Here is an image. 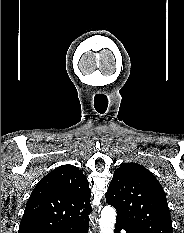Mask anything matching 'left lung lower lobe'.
<instances>
[{"mask_svg":"<svg viewBox=\"0 0 184 233\" xmlns=\"http://www.w3.org/2000/svg\"><path fill=\"white\" fill-rule=\"evenodd\" d=\"M115 227L116 228H115L114 233H120V231L122 229H124L126 231V233H135L130 228H128L127 225L123 221H121L119 219H116V226Z\"/></svg>","mask_w":184,"mask_h":233,"instance_id":"left-lung-lower-lobe-1","label":"left lung lower lobe"}]
</instances>
